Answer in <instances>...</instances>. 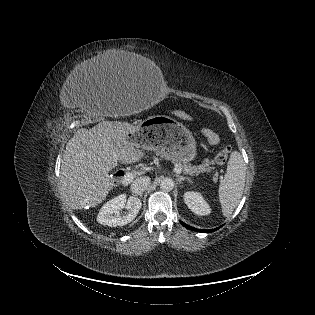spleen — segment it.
I'll return each instance as SVG.
<instances>
[{
	"mask_svg": "<svg viewBox=\"0 0 315 315\" xmlns=\"http://www.w3.org/2000/svg\"><path fill=\"white\" fill-rule=\"evenodd\" d=\"M246 165L241 154L233 151L227 165L224 180L219 185V200L222 213L229 216L238 206L245 186Z\"/></svg>",
	"mask_w": 315,
	"mask_h": 315,
	"instance_id": "spleen-1",
	"label": "spleen"
}]
</instances>
